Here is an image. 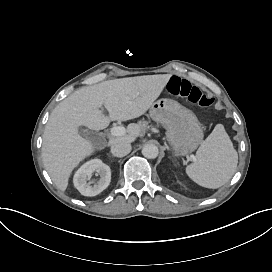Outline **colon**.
<instances>
[{
    "mask_svg": "<svg viewBox=\"0 0 272 272\" xmlns=\"http://www.w3.org/2000/svg\"><path fill=\"white\" fill-rule=\"evenodd\" d=\"M170 91L174 96L186 102L196 104L202 108H209L215 99L210 94L192 85L188 80L174 76L169 82Z\"/></svg>",
    "mask_w": 272,
    "mask_h": 272,
    "instance_id": "obj_1",
    "label": "colon"
}]
</instances>
